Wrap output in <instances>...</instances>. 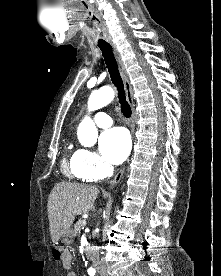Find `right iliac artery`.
Segmentation results:
<instances>
[{"mask_svg": "<svg viewBox=\"0 0 221 276\" xmlns=\"http://www.w3.org/2000/svg\"><path fill=\"white\" fill-rule=\"evenodd\" d=\"M88 274L91 275V276H94L95 275V269L89 268L88 269Z\"/></svg>", "mask_w": 221, "mask_h": 276, "instance_id": "82829eb1", "label": "right iliac artery"}]
</instances>
